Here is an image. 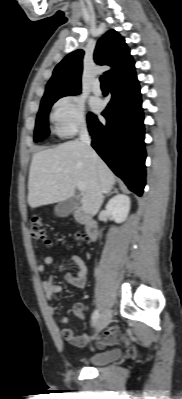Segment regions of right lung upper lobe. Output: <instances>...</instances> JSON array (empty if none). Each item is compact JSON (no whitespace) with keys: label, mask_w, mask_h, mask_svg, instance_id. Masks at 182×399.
<instances>
[{"label":"right lung upper lobe","mask_w":182,"mask_h":399,"mask_svg":"<svg viewBox=\"0 0 182 399\" xmlns=\"http://www.w3.org/2000/svg\"><path fill=\"white\" fill-rule=\"evenodd\" d=\"M83 55V50H76L55 67L42 99L80 93ZM94 60L99 65L111 66L106 72L110 83L135 72L129 49L123 37L115 30L108 31L99 39L94 51Z\"/></svg>","instance_id":"right-lung-upper-lobe-1"}]
</instances>
